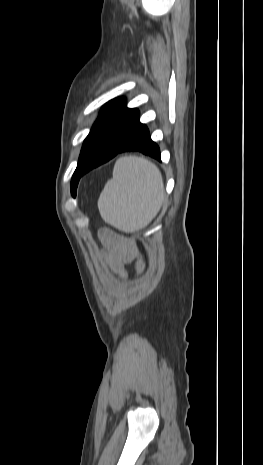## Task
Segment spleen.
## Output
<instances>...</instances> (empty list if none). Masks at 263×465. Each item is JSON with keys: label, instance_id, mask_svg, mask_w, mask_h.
<instances>
[{"label": "spleen", "instance_id": "obj_1", "mask_svg": "<svg viewBox=\"0 0 263 465\" xmlns=\"http://www.w3.org/2000/svg\"><path fill=\"white\" fill-rule=\"evenodd\" d=\"M163 198L159 169L144 158L128 156L117 160L98 208L106 223L129 233L145 227L156 216Z\"/></svg>", "mask_w": 263, "mask_h": 465}]
</instances>
